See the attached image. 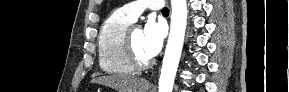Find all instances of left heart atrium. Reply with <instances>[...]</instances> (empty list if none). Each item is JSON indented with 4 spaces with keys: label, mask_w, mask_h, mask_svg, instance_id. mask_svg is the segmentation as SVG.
<instances>
[{
    "label": "left heart atrium",
    "mask_w": 289,
    "mask_h": 92,
    "mask_svg": "<svg viewBox=\"0 0 289 92\" xmlns=\"http://www.w3.org/2000/svg\"><path fill=\"white\" fill-rule=\"evenodd\" d=\"M165 33V27L161 22L153 18L148 19L143 29V42L144 49L151 58L160 52Z\"/></svg>",
    "instance_id": "39dd6f15"
}]
</instances>
